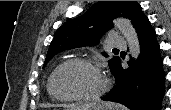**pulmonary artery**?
<instances>
[{
    "instance_id": "e3ab8cb5",
    "label": "pulmonary artery",
    "mask_w": 171,
    "mask_h": 110,
    "mask_svg": "<svg viewBox=\"0 0 171 110\" xmlns=\"http://www.w3.org/2000/svg\"><path fill=\"white\" fill-rule=\"evenodd\" d=\"M126 40L119 36L117 33H110L108 38V44L112 47H125Z\"/></svg>"
}]
</instances>
